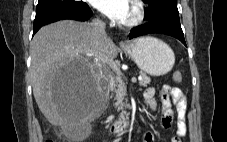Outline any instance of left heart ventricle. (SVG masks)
<instances>
[{
    "mask_svg": "<svg viewBox=\"0 0 227 142\" xmlns=\"http://www.w3.org/2000/svg\"><path fill=\"white\" fill-rule=\"evenodd\" d=\"M132 16H133V7L131 5L130 10H129L128 17H127V19L125 21H128Z\"/></svg>",
    "mask_w": 227,
    "mask_h": 142,
    "instance_id": "b2bd125f",
    "label": "left heart ventricle"
}]
</instances>
